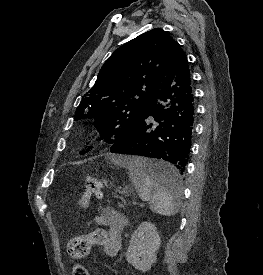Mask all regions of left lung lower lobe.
Returning <instances> with one entry per match:
<instances>
[{"label": "left lung lower lobe", "mask_w": 263, "mask_h": 275, "mask_svg": "<svg viewBox=\"0 0 263 275\" xmlns=\"http://www.w3.org/2000/svg\"><path fill=\"white\" fill-rule=\"evenodd\" d=\"M160 100L163 104L155 105ZM153 116L156 123H148ZM195 101L188 61L176 50L153 101L135 130L111 146L112 153L145 156L170 163L148 174L173 188L187 170L194 131Z\"/></svg>", "instance_id": "1"}]
</instances>
